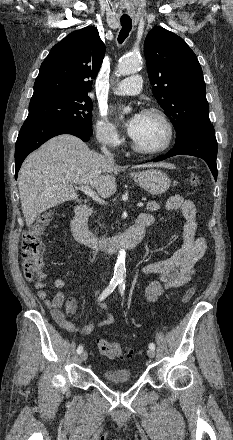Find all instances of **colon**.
<instances>
[{
  "label": "colon",
  "instance_id": "obj_1",
  "mask_svg": "<svg viewBox=\"0 0 233 440\" xmlns=\"http://www.w3.org/2000/svg\"><path fill=\"white\" fill-rule=\"evenodd\" d=\"M192 187L200 184V178L196 174H192L188 179ZM53 220V214L50 211L42 213L35 223H33L24 233L22 237V259L23 273L28 280L44 281V262L45 245L42 241V235L50 226ZM195 294V288H188L183 296L184 303L189 302ZM97 347L102 356L110 359H125L132 356V352L123 348L118 342L106 339H98Z\"/></svg>",
  "mask_w": 233,
  "mask_h": 440
}]
</instances>
